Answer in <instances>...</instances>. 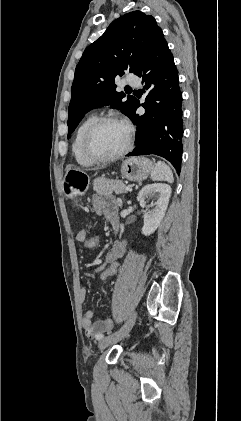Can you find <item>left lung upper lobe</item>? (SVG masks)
<instances>
[{
	"label": "left lung upper lobe",
	"mask_w": 241,
	"mask_h": 421,
	"mask_svg": "<svg viewBox=\"0 0 241 421\" xmlns=\"http://www.w3.org/2000/svg\"><path fill=\"white\" fill-rule=\"evenodd\" d=\"M160 31L154 17L133 11L113 21L85 49L72 84L68 137L83 116L95 107L111 105L131 117L136 98L127 96L123 101L125 93L116 91L114 79L125 71L137 73Z\"/></svg>",
	"instance_id": "1"
}]
</instances>
